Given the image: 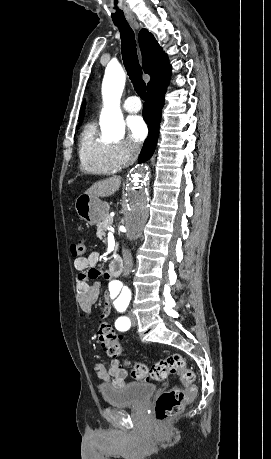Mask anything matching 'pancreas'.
<instances>
[{
  "instance_id": "cf45deb5",
  "label": "pancreas",
  "mask_w": 271,
  "mask_h": 459,
  "mask_svg": "<svg viewBox=\"0 0 271 459\" xmlns=\"http://www.w3.org/2000/svg\"><path fill=\"white\" fill-rule=\"evenodd\" d=\"M112 218L111 220H108V222H102V224H99L98 231L96 232V237L98 239H103L105 237V232L102 229L109 228V226H112Z\"/></svg>"
}]
</instances>
